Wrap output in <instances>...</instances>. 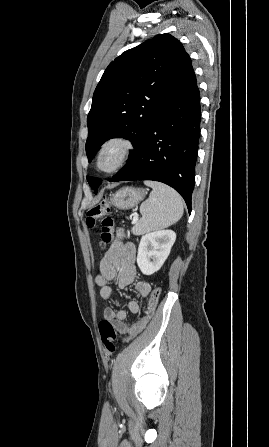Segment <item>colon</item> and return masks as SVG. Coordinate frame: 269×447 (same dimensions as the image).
Masks as SVG:
<instances>
[{"instance_id":"obj_1","label":"colon","mask_w":269,"mask_h":447,"mask_svg":"<svg viewBox=\"0 0 269 447\" xmlns=\"http://www.w3.org/2000/svg\"><path fill=\"white\" fill-rule=\"evenodd\" d=\"M111 212L112 205L110 201H103L93 206L86 215L87 226L90 228H99L100 238L103 244L111 243L113 238L115 222L111 217ZM160 295L161 287L155 286L154 290L151 292V297L148 301V307L144 316L139 318L138 321H135L133 325L129 326L134 327L135 330L133 335H129L123 340L125 343H129L132 339H137V336L146 330V325L148 324V320L152 319L151 314L156 310ZM98 330L106 350L109 353H114L116 351L118 333L113 324L108 320H101L98 324Z\"/></svg>"}]
</instances>
